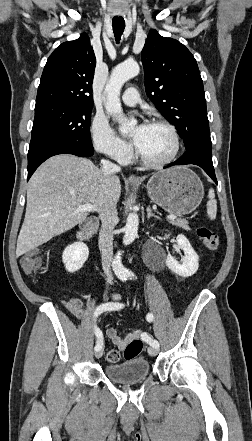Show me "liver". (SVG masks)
<instances>
[{
	"label": "liver",
	"mask_w": 252,
	"mask_h": 441,
	"mask_svg": "<svg viewBox=\"0 0 252 441\" xmlns=\"http://www.w3.org/2000/svg\"><path fill=\"white\" fill-rule=\"evenodd\" d=\"M121 195L119 177H108L91 160L69 154L46 160L32 175L27 205L16 247V256L35 249L83 222L91 204L99 210Z\"/></svg>",
	"instance_id": "obj_1"
}]
</instances>
